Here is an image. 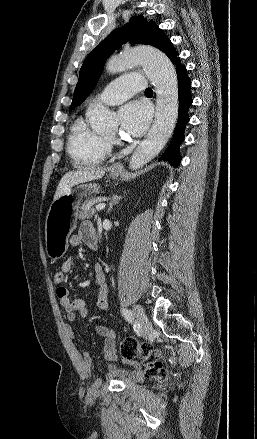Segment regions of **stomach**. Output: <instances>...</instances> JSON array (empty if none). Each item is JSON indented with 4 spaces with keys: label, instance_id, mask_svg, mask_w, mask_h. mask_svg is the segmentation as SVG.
<instances>
[{
    "label": "stomach",
    "instance_id": "stomach-1",
    "mask_svg": "<svg viewBox=\"0 0 257 439\" xmlns=\"http://www.w3.org/2000/svg\"><path fill=\"white\" fill-rule=\"evenodd\" d=\"M119 175V172L110 173L114 179ZM98 190L97 184H80L52 202L45 223L46 252L49 258L57 260L66 253L68 237L77 223L80 200Z\"/></svg>",
    "mask_w": 257,
    "mask_h": 439
}]
</instances>
